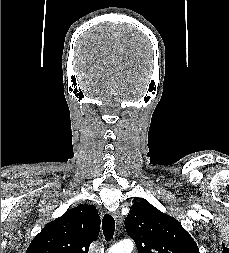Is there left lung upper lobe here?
<instances>
[{
  "label": "left lung upper lobe",
  "instance_id": "1",
  "mask_svg": "<svg viewBox=\"0 0 229 253\" xmlns=\"http://www.w3.org/2000/svg\"><path fill=\"white\" fill-rule=\"evenodd\" d=\"M125 228L138 253H199L196 242L182 225L146 200L131 206Z\"/></svg>",
  "mask_w": 229,
  "mask_h": 253
}]
</instances>
